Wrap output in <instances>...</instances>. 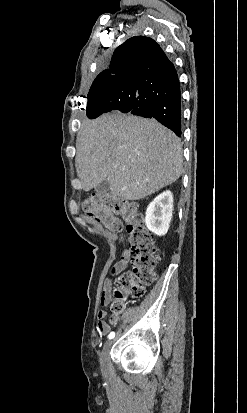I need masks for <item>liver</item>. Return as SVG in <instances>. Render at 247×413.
<instances>
[{"label": "liver", "mask_w": 247, "mask_h": 413, "mask_svg": "<svg viewBox=\"0 0 247 413\" xmlns=\"http://www.w3.org/2000/svg\"><path fill=\"white\" fill-rule=\"evenodd\" d=\"M76 170L83 190L108 180L111 194L138 200L175 182L182 168L181 140L155 118L107 112L82 122Z\"/></svg>", "instance_id": "obj_1"}]
</instances>
